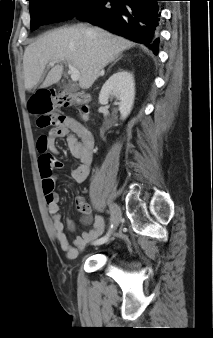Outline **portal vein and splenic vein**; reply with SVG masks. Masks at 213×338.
I'll return each mask as SVG.
<instances>
[{
    "instance_id": "portal-vein-and-splenic-vein-1",
    "label": "portal vein and splenic vein",
    "mask_w": 213,
    "mask_h": 338,
    "mask_svg": "<svg viewBox=\"0 0 213 338\" xmlns=\"http://www.w3.org/2000/svg\"><path fill=\"white\" fill-rule=\"evenodd\" d=\"M50 66H54V62L49 63ZM68 67H69V73L71 76L72 81H78L79 80V70L76 69L74 66L71 65V63L68 62Z\"/></svg>"
}]
</instances>
